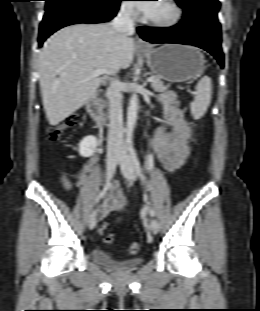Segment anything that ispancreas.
Returning <instances> with one entry per match:
<instances>
[{"mask_svg":"<svg viewBox=\"0 0 260 311\" xmlns=\"http://www.w3.org/2000/svg\"><path fill=\"white\" fill-rule=\"evenodd\" d=\"M154 78V81L151 82V87L155 92H164L169 88V85H164L163 81L159 76H152Z\"/></svg>","mask_w":260,"mask_h":311,"instance_id":"pancreas-1","label":"pancreas"}]
</instances>
